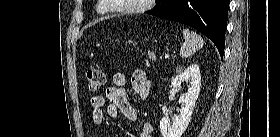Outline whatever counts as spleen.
Returning a JSON list of instances; mask_svg holds the SVG:
<instances>
[{
	"label": "spleen",
	"instance_id": "obj_1",
	"mask_svg": "<svg viewBox=\"0 0 280 137\" xmlns=\"http://www.w3.org/2000/svg\"><path fill=\"white\" fill-rule=\"evenodd\" d=\"M184 44L180 49V56L186 58L198 51L204 44V41L200 35L191 31L190 29H183Z\"/></svg>",
	"mask_w": 280,
	"mask_h": 137
}]
</instances>
